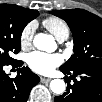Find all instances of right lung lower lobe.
<instances>
[{"instance_id": "98d812e1", "label": "right lung lower lobe", "mask_w": 102, "mask_h": 102, "mask_svg": "<svg viewBox=\"0 0 102 102\" xmlns=\"http://www.w3.org/2000/svg\"><path fill=\"white\" fill-rule=\"evenodd\" d=\"M18 67L17 76L12 79L4 71L0 64V100L2 102H26L30 90L39 83L40 78L28 67H22L23 62L16 60L9 64Z\"/></svg>"}]
</instances>
